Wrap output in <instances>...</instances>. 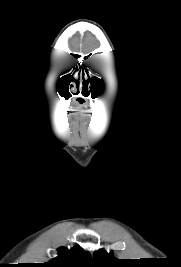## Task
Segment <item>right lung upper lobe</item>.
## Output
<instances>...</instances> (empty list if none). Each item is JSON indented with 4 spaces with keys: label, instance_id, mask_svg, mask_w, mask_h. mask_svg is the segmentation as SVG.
I'll return each mask as SVG.
<instances>
[{
    "label": "right lung upper lobe",
    "instance_id": "obj_1",
    "mask_svg": "<svg viewBox=\"0 0 181 267\" xmlns=\"http://www.w3.org/2000/svg\"><path fill=\"white\" fill-rule=\"evenodd\" d=\"M58 252L59 256L46 262V267H89L92 262L90 254L80 246H75L71 250L61 247Z\"/></svg>",
    "mask_w": 181,
    "mask_h": 267
}]
</instances>
